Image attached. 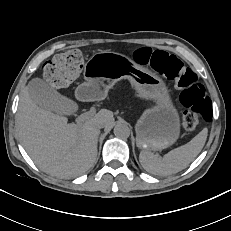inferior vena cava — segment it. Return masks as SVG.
I'll use <instances>...</instances> for the list:
<instances>
[{
    "label": "inferior vena cava",
    "mask_w": 231,
    "mask_h": 231,
    "mask_svg": "<svg viewBox=\"0 0 231 231\" xmlns=\"http://www.w3.org/2000/svg\"><path fill=\"white\" fill-rule=\"evenodd\" d=\"M98 127H99V128H103V127H104V124H99Z\"/></svg>",
    "instance_id": "inferior-vena-cava-1"
}]
</instances>
